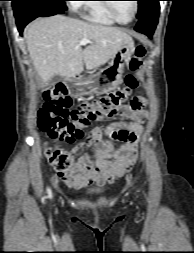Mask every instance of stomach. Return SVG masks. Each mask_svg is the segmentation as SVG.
<instances>
[{"instance_id":"0dacf381","label":"stomach","mask_w":194,"mask_h":253,"mask_svg":"<svg viewBox=\"0 0 194 253\" xmlns=\"http://www.w3.org/2000/svg\"><path fill=\"white\" fill-rule=\"evenodd\" d=\"M133 46L124 44L111 58L109 65L87 78H69L71 95L82 97L90 94H104L116 89L121 82L124 64L132 53Z\"/></svg>"}]
</instances>
